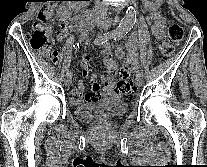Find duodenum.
Masks as SVG:
<instances>
[{"label":"duodenum","instance_id":"duodenum-1","mask_svg":"<svg viewBox=\"0 0 207 167\" xmlns=\"http://www.w3.org/2000/svg\"><path fill=\"white\" fill-rule=\"evenodd\" d=\"M84 21L87 26H91L94 24V12L93 11H86L84 14Z\"/></svg>","mask_w":207,"mask_h":167}]
</instances>
